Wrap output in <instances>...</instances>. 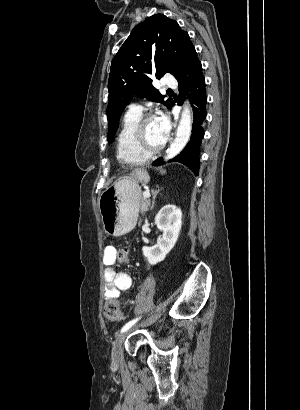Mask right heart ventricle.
Listing matches in <instances>:
<instances>
[{"label": "right heart ventricle", "instance_id": "right-heart-ventricle-1", "mask_svg": "<svg viewBox=\"0 0 300 410\" xmlns=\"http://www.w3.org/2000/svg\"><path fill=\"white\" fill-rule=\"evenodd\" d=\"M141 113L128 111L121 122L117 134V158L120 162L132 165L144 164L149 156L140 152L133 141V130Z\"/></svg>", "mask_w": 300, "mask_h": 410}]
</instances>
